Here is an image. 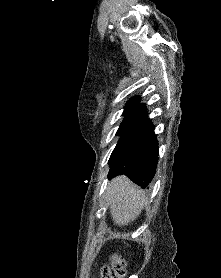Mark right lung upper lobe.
I'll list each match as a JSON object with an SVG mask.
<instances>
[{
    "label": "right lung upper lobe",
    "instance_id": "right-lung-upper-lobe-1",
    "mask_svg": "<svg viewBox=\"0 0 221 278\" xmlns=\"http://www.w3.org/2000/svg\"><path fill=\"white\" fill-rule=\"evenodd\" d=\"M135 105H143L142 103H140V99L138 97H133L132 99H130L126 104V107Z\"/></svg>",
    "mask_w": 221,
    "mask_h": 278
}]
</instances>
